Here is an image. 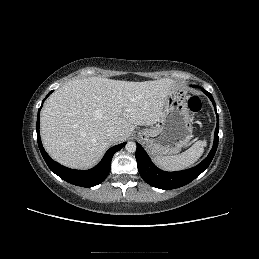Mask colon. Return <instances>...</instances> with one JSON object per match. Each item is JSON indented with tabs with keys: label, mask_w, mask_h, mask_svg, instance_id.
I'll list each match as a JSON object with an SVG mask.
<instances>
[{
	"label": "colon",
	"mask_w": 259,
	"mask_h": 259,
	"mask_svg": "<svg viewBox=\"0 0 259 259\" xmlns=\"http://www.w3.org/2000/svg\"><path fill=\"white\" fill-rule=\"evenodd\" d=\"M187 108L192 114H196L201 110L202 104L201 100L197 96H191L187 100Z\"/></svg>",
	"instance_id": "1"
}]
</instances>
